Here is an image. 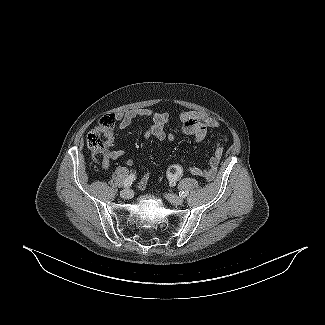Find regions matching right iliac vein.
Segmentation results:
<instances>
[{
	"label": "right iliac vein",
	"instance_id": "right-iliac-vein-1",
	"mask_svg": "<svg viewBox=\"0 0 325 325\" xmlns=\"http://www.w3.org/2000/svg\"><path fill=\"white\" fill-rule=\"evenodd\" d=\"M120 196L123 199L129 200V199L132 198L133 193H132V191L130 189H125V190L121 191Z\"/></svg>",
	"mask_w": 325,
	"mask_h": 325
}]
</instances>
